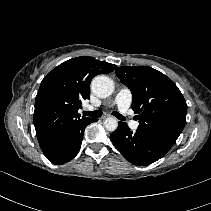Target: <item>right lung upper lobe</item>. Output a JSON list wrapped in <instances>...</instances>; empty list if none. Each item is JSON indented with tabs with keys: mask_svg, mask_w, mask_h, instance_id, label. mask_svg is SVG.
Segmentation results:
<instances>
[{
	"mask_svg": "<svg viewBox=\"0 0 211 211\" xmlns=\"http://www.w3.org/2000/svg\"><path fill=\"white\" fill-rule=\"evenodd\" d=\"M116 65L81 56L63 62L41 82L35 99L34 125L41 149L91 118L78 109L90 97V82L98 74L112 72Z\"/></svg>",
	"mask_w": 211,
	"mask_h": 211,
	"instance_id": "obj_1",
	"label": "right lung upper lobe"
}]
</instances>
